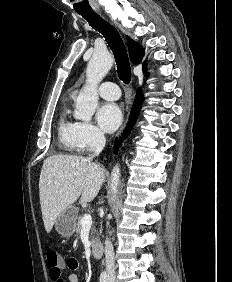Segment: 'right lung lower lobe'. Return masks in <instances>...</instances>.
<instances>
[{"instance_id":"1","label":"right lung lower lobe","mask_w":232,"mask_h":282,"mask_svg":"<svg viewBox=\"0 0 232 282\" xmlns=\"http://www.w3.org/2000/svg\"><path fill=\"white\" fill-rule=\"evenodd\" d=\"M145 75L147 76L148 73L145 74ZM142 100H143V94H142V91L139 89L137 91V95H136V98H135V101H134V104H133V107H132V110H131L129 122H128L127 127L125 128V131H124L126 136L130 133L133 125L136 122L137 116H138L139 111L141 109ZM119 146H120V144H119L118 140L116 139L115 146L113 147L115 153H117Z\"/></svg>"}]
</instances>
